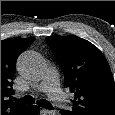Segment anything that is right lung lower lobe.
<instances>
[{
    "instance_id": "1",
    "label": "right lung lower lobe",
    "mask_w": 115,
    "mask_h": 115,
    "mask_svg": "<svg viewBox=\"0 0 115 115\" xmlns=\"http://www.w3.org/2000/svg\"><path fill=\"white\" fill-rule=\"evenodd\" d=\"M39 113V107L35 105H28L24 115H37Z\"/></svg>"
}]
</instances>
